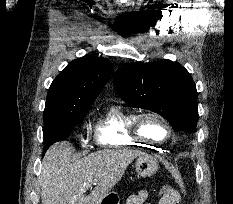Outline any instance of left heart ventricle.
Instances as JSON below:
<instances>
[{
    "label": "left heart ventricle",
    "mask_w": 233,
    "mask_h": 204,
    "mask_svg": "<svg viewBox=\"0 0 233 204\" xmlns=\"http://www.w3.org/2000/svg\"><path fill=\"white\" fill-rule=\"evenodd\" d=\"M142 127L145 134L155 139H163L167 133L165 126L153 118L145 119Z\"/></svg>",
    "instance_id": "obj_1"
}]
</instances>
